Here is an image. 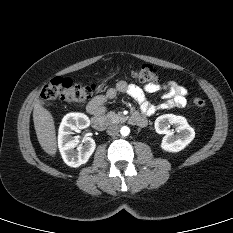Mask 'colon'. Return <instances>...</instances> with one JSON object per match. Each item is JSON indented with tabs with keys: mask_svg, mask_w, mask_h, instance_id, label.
I'll list each match as a JSON object with an SVG mask.
<instances>
[{
	"mask_svg": "<svg viewBox=\"0 0 233 233\" xmlns=\"http://www.w3.org/2000/svg\"><path fill=\"white\" fill-rule=\"evenodd\" d=\"M129 75L142 83H156L158 81L157 70L148 64L137 65L130 70ZM95 91L92 84H83L71 79L55 77L51 79L42 89L41 101L49 104L54 101L82 102L89 99ZM194 105L198 108L205 106V101L201 98L194 100Z\"/></svg>",
	"mask_w": 233,
	"mask_h": 233,
	"instance_id": "obj_1",
	"label": "colon"
}]
</instances>
